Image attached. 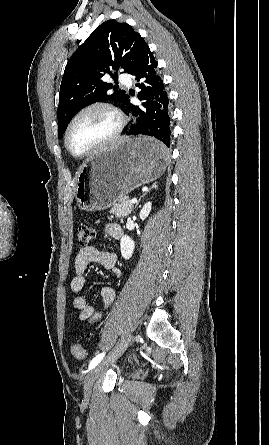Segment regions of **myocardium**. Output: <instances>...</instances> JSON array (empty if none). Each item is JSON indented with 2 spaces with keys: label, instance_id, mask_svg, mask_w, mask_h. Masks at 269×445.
I'll use <instances>...</instances> for the list:
<instances>
[{
  "label": "myocardium",
  "instance_id": "obj_1",
  "mask_svg": "<svg viewBox=\"0 0 269 445\" xmlns=\"http://www.w3.org/2000/svg\"><path fill=\"white\" fill-rule=\"evenodd\" d=\"M93 110H103V111L107 112L109 115H111L115 122L114 128L106 137H104L103 139L98 141L92 147H90L89 149H87L86 151H84L82 153L76 154L70 149V146H69L70 132H71L74 124L76 123V121L82 115H84L90 111H93ZM125 124H126V121H125V117H124L123 113L113 104H111L109 102H105V101H96V102L90 103V104L80 108L69 120V122L65 128V132H64V136H63L65 149L74 158L80 159V158L87 157L91 154L96 153L97 151L101 150L102 148H104L105 146L109 145L111 142L116 140L120 136L122 131L124 130Z\"/></svg>",
  "mask_w": 269,
  "mask_h": 445
}]
</instances>
